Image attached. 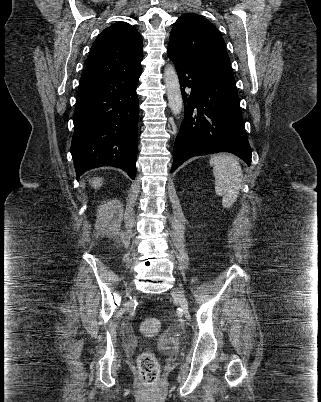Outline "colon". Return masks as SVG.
<instances>
[{"instance_id":"1","label":"colon","mask_w":321,"mask_h":402,"mask_svg":"<svg viewBox=\"0 0 321 402\" xmlns=\"http://www.w3.org/2000/svg\"><path fill=\"white\" fill-rule=\"evenodd\" d=\"M141 331L145 335H153L158 332L160 323L156 318H146L141 323ZM137 367L144 381L155 386L160 377V365L155 355L149 351H143L137 359Z\"/></svg>"}]
</instances>
